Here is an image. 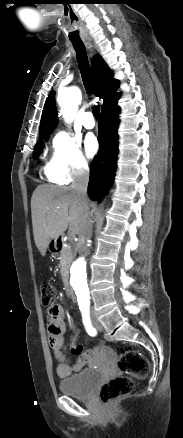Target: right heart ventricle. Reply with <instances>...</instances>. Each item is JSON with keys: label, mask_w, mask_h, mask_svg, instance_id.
I'll return each mask as SVG.
<instances>
[{"label": "right heart ventricle", "mask_w": 183, "mask_h": 438, "mask_svg": "<svg viewBox=\"0 0 183 438\" xmlns=\"http://www.w3.org/2000/svg\"><path fill=\"white\" fill-rule=\"evenodd\" d=\"M48 167H49V164L46 165L45 170H46V173H47L48 177L50 178V176H49V174H48ZM52 180H53V179H52Z\"/></svg>", "instance_id": "e07e8e85"}]
</instances>
